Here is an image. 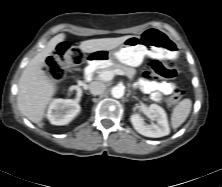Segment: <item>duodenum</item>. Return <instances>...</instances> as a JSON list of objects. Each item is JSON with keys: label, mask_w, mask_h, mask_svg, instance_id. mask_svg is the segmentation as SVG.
I'll use <instances>...</instances> for the list:
<instances>
[{"label": "duodenum", "mask_w": 222, "mask_h": 187, "mask_svg": "<svg viewBox=\"0 0 222 187\" xmlns=\"http://www.w3.org/2000/svg\"><path fill=\"white\" fill-rule=\"evenodd\" d=\"M98 63L96 61H92L89 63V65L86 67L85 71H84V80H81L77 85L80 88H84L86 81L91 80L95 67Z\"/></svg>", "instance_id": "1"}]
</instances>
